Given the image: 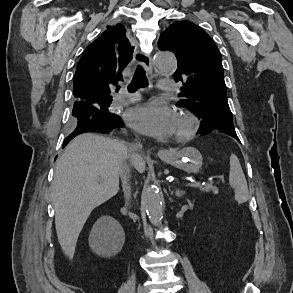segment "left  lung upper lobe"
Listing matches in <instances>:
<instances>
[{
  "label": "left lung upper lobe",
  "mask_w": 293,
  "mask_h": 293,
  "mask_svg": "<svg viewBox=\"0 0 293 293\" xmlns=\"http://www.w3.org/2000/svg\"><path fill=\"white\" fill-rule=\"evenodd\" d=\"M158 44L161 50H170L177 57L173 78L183 81L177 105L202 117L207 131L235 130L222 58L214 40L196 24L176 21L161 34Z\"/></svg>",
  "instance_id": "1"
}]
</instances>
